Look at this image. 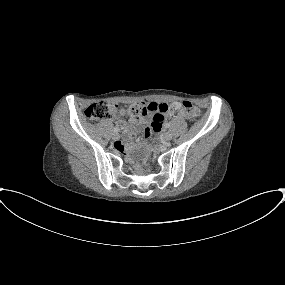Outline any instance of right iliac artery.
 Returning <instances> with one entry per match:
<instances>
[{
	"instance_id": "1",
	"label": "right iliac artery",
	"mask_w": 285,
	"mask_h": 285,
	"mask_svg": "<svg viewBox=\"0 0 285 285\" xmlns=\"http://www.w3.org/2000/svg\"><path fill=\"white\" fill-rule=\"evenodd\" d=\"M119 129L117 127L114 128V132H118Z\"/></svg>"
}]
</instances>
